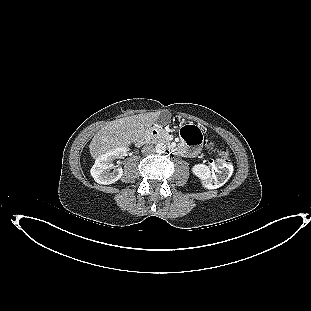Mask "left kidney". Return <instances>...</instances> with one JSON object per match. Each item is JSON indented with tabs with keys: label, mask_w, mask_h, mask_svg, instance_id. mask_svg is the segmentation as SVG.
Segmentation results:
<instances>
[{
	"label": "left kidney",
	"mask_w": 311,
	"mask_h": 311,
	"mask_svg": "<svg viewBox=\"0 0 311 311\" xmlns=\"http://www.w3.org/2000/svg\"><path fill=\"white\" fill-rule=\"evenodd\" d=\"M192 172L203 182L207 181L211 175L210 168L205 164L194 165L192 167Z\"/></svg>",
	"instance_id": "5707ae66"
}]
</instances>
